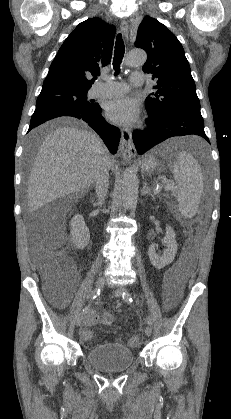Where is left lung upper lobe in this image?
I'll list each match as a JSON object with an SVG mask.
<instances>
[{"instance_id": "left-lung-upper-lobe-1", "label": "left lung upper lobe", "mask_w": 231, "mask_h": 419, "mask_svg": "<svg viewBox=\"0 0 231 419\" xmlns=\"http://www.w3.org/2000/svg\"><path fill=\"white\" fill-rule=\"evenodd\" d=\"M135 46L147 52L144 72L157 80L156 91L147 97L151 112L176 108L200 107L196 87L184 49L177 37L162 23L146 16L138 27Z\"/></svg>"}]
</instances>
